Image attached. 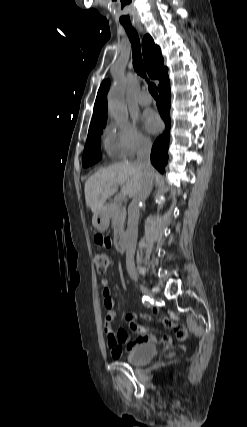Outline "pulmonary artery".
I'll return each instance as SVG.
<instances>
[{
  "instance_id": "e3ab8cb5",
  "label": "pulmonary artery",
  "mask_w": 247,
  "mask_h": 427,
  "mask_svg": "<svg viewBox=\"0 0 247 427\" xmlns=\"http://www.w3.org/2000/svg\"><path fill=\"white\" fill-rule=\"evenodd\" d=\"M138 102L141 106H148L152 103V98L150 95L142 94L139 97Z\"/></svg>"
}]
</instances>
